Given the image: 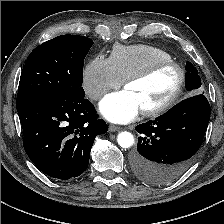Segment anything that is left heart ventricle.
Here are the masks:
<instances>
[{"label":"left heart ventricle","instance_id":"b2bd125f","mask_svg":"<svg viewBox=\"0 0 224 224\" xmlns=\"http://www.w3.org/2000/svg\"><path fill=\"white\" fill-rule=\"evenodd\" d=\"M177 81V71L165 68L144 81L128 85L126 90L137 99L141 110H145L163 103L174 91Z\"/></svg>","mask_w":224,"mask_h":224}]
</instances>
